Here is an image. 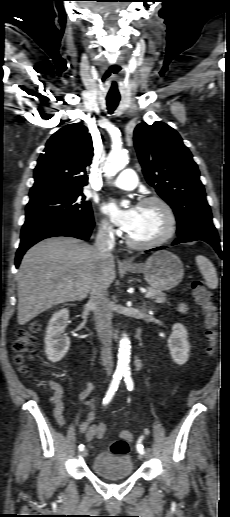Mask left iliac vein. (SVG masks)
I'll return each instance as SVG.
<instances>
[{
  "instance_id": "1",
  "label": "left iliac vein",
  "mask_w": 230,
  "mask_h": 517,
  "mask_svg": "<svg viewBox=\"0 0 230 517\" xmlns=\"http://www.w3.org/2000/svg\"><path fill=\"white\" fill-rule=\"evenodd\" d=\"M139 457H140V458H143V457L148 458V457H149V450H147V451L144 453V455H143V454H140V456H139Z\"/></svg>"
}]
</instances>
